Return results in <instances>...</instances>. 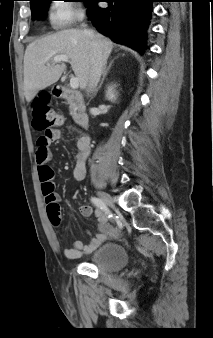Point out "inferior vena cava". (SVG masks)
Listing matches in <instances>:
<instances>
[{
    "mask_svg": "<svg viewBox=\"0 0 213 338\" xmlns=\"http://www.w3.org/2000/svg\"><path fill=\"white\" fill-rule=\"evenodd\" d=\"M84 32L88 35L91 45V71L87 89V93L89 94L94 91L100 80L103 68L106 64L107 56L103 54L101 45L95 34L89 30H84Z\"/></svg>",
    "mask_w": 213,
    "mask_h": 338,
    "instance_id": "1",
    "label": "inferior vena cava"
}]
</instances>
